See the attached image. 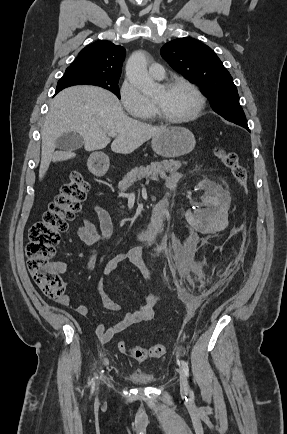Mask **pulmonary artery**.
<instances>
[{"instance_id": "e3ab8cb5", "label": "pulmonary artery", "mask_w": 287, "mask_h": 434, "mask_svg": "<svg viewBox=\"0 0 287 434\" xmlns=\"http://www.w3.org/2000/svg\"><path fill=\"white\" fill-rule=\"evenodd\" d=\"M149 75L157 80H161L165 77L164 67L160 63H153L149 67Z\"/></svg>"}]
</instances>
